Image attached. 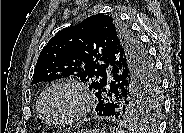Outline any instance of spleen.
I'll list each match as a JSON object with an SVG mask.
<instances>
[{"label": "spleen", "mask_w": 184, "mask_h": 133, "mask_svg": "<svg viewBox=\"0 0 184 133\" xmlns=\"http://www.w3.org/2000/svg\"><path fill=\"white\" fill-rule=\"evenodd\" d=\"M111 132L112 133H124V131L118 130V129H112Z\"/></svg>", "instance_id": "3e777b00"}]
</instances>
